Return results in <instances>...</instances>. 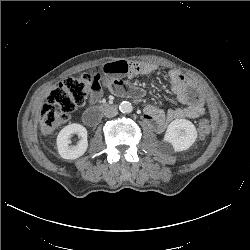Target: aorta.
I'll return each mask as SVG.
<instances>
[{
  "label": "aorta",
  "mask_w": 250,
  "mask_h": 250,
  "mask_svg": "<svg viewBox=\"0 0 250 250\" xmlns=\"http://www.w3.org/2000/svg\"><path fill=\"white\" fill-rule=\"evenodd\" d=\"M119 110L122 112V113H131L133 111V106L130 102L128 101H123L121 102V104L119 105Z\"/></svg>",
  "instance_id": "762f6f07"
}]
</instances>
